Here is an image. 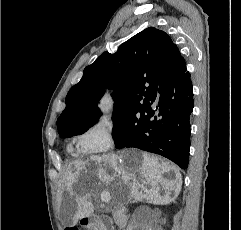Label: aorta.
I'll use <instances>...</instances> for the list:
<instances>
[{"label":"aorta","instance_id":"762f6f07","mask_svg":"<svg viewBox=\"0 0 241 230\" xmlns=\"http://www.w3.org/2000/svg\"><path fill=\"white\" fill-rule=\"evenodd\" d=\"M99 108L103 113H108L111 109V100L110 98L106 95L100 102Z\"/></svg>","mask_w":241,"mask_h":230}]
</instances>
